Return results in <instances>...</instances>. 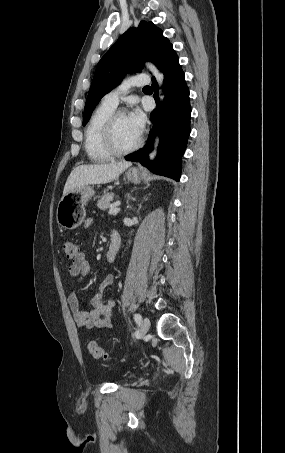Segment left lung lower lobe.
I'll return each mask as SVG.
<instances>
[{"label": "left lung lower lobe", "mask_w": 285, "mask_h": 453, "mask_svg": "<svg viewBox=\"0 0 285 453\" xmlns=\"http://www.w3.org/2000/svg\"><path fill=\"white\" fill-rule=\"evenodd\" d=\"M159 69L162 70L165 77L163 85L165 100L162 104L159 103L158 85L153 77L152 86L157 103V108L151 113L154 128L149 135V142L142 149L125 156V159L140 162L153 173L179 181L181 157L190 134L191 107L189 90L178 56L173 48L161 60ZM157 122L159 125L160 144L156 159L153 162H149L148 153L153 148V136Z\"/></svg>", "instance_id": "1"}]
</instances>
